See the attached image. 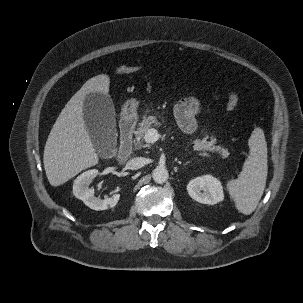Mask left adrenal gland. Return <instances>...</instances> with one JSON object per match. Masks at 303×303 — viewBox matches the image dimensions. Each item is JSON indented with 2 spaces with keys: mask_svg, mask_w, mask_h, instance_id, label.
Masks as SVG:
<instances>
[{
  "mask_svg": "<svg viewBox=\"0 0 303 303\" xmlns=\"http://www.w3.org/2000/svg\"><path fill=\"white\" fill-rule=\"evenodd\" d=\"M190 162H186L185 164H184V166H186L187 164H189Z\"/></svg>",
  "mask_w": 303,
  "mask_h": 303,
  "instance_id": "obj_1",
  "label": "left adrenal gland"
}]
</instances>
